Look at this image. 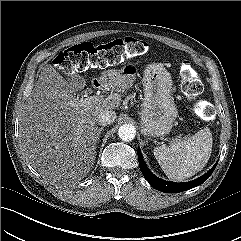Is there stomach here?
Segmentation results:
<instances>
[{"instance_id":"stomach-1","label":"stomach","mask_w":241,"mask_h":241,"mask_svg":"<svg viewBox=\"0 0 241 241\" xmlns=\"http://www.w3.org/2000/svg\"><path fill=\"white\" fill-rule=\"evenodd\" d=\"M115 78L122 88L130 84L135 70L124 67L121 71L104 75ZM144 99L141 110V132L147 137L168 134L177 118L178 111L172 97L173 82L170 73L160 65H149L143 75Z\"/></svg>"}]
</instances>
